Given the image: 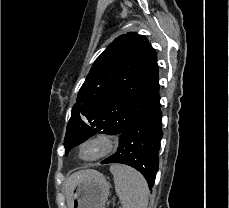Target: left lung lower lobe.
<instances>
[{"instance_id": "1", "label": "left lung lower lobe", "mask_w": 229, "mask_h": 208, "mask_svg": "<svg viewBox=\"0 0 229 208\" xmlns=\"http://www.w3.org/2000/svg\"><path fill=\"white\" fill-rule=\"evenodd\" d=\"M160 108L158 101L127 125L120 134L118 151L101 162L122 163L135 168L144 176L150 189L158 171V152L163 137Z\"/></svg>"}]
</instances>
